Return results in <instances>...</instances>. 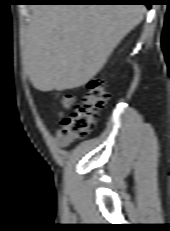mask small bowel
I'll return each instance as SVG.
<instances>
[{
	"label": "small bowel",
	"instance_id": "c3829d8e",
	"mask_svg": "<svg viewBox=\"0 0 170 231\" xmlns=\"http://www.w3.org/2000/svg\"><path fill=\"white\" fill-rule=\"evenodd\" d=\"M55 138H56L57 144H58L59 146H61V147H66V146L68 145V143H69V141L66 140V139L64 138V136L62 135L61 129H59V130L56 132Z\"/></svg>",
	"mask_w": 170,
	"mask_h": 231
}]
</instances>
